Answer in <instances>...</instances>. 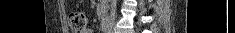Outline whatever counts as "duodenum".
Returning a JSON list of instances; mask_svg holds the SVG:
<instances>
[{
  "label": "duodenum",
  "mask_w": 235,
  "mask_h": 33,
  "mask_svg": "<svg viewBox=\"0 0 235 33\" xmlns=\"http://www.w3.org/2000/svg\"><path fill=\"white\" fill-rule=\"evenodd\" d=\"M106 29H107V23H103L102 24V30L104 31V32H106Z\"/></svg>",
  "instance_id": "410a0bca"
}]
</instances>
